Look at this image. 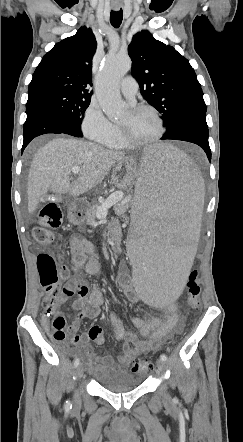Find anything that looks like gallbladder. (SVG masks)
I'll list each match as a JSON object with an SVG mask.
<instances>
[{"label": "gallbladder", "instance_id": "1", "mask_svg": "<svg viewBox=\"0 0 243 442\" xmlns=\"http://www.w3.org/2000/svg\"><path fill=\"white\" fill-rule=\"evenodd\" d=\"M47 199H56L58 201H62L63 199H65V196H63L59 193H47L41 198V200L44 201V203H43L44 206L46 204Z\"/></svg>", "mask_w": 243, "mask_h": 442}]
</instances>
